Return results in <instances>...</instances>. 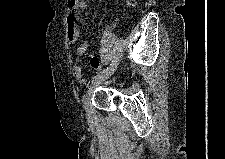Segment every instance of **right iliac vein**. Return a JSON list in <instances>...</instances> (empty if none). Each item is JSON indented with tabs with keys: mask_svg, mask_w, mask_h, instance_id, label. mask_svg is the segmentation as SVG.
Wrapping results in <instances>:
<instances>
[{
	"mask_svg": "<svg viewBox=\"0 0 225 159\" xmlns=\"http://www.w3.org/2000/svg\"><path fill=\"white\" fill-rule=\"evenodd\" d=\"M117 66H118V63L115 64L113 67H111L107 72L97 76L96 79L92 82L86 95L83 97L84 106L88 111L90 107V97L93 94L94 90L115 72Z\"/></svg>",
	"mask_w": 225,
	"mask_h": 159,
	"instance_id": "obj_1",
	"label": "right iliac vein"
}]
</instances>
